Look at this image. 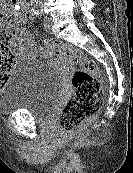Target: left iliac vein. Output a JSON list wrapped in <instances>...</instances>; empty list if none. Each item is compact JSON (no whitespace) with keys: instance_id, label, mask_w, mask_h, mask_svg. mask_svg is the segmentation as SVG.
Returning <instances> with one entry per match:
<instances>
[{"instance_id":"4c4485c4","label":"left iliac vein","mask_w":133,"mask_h":173,"mask_svg":"<svg viewBox=\"0 0 133 173\" xmlns=\"http://www.w3.org/2000/svg\"><path fill=\"white\" fill-rule=\"evenodd\" d=\"M44 27L46 28V29H49L50 28V20H49V18L48 17H44Z\"/></svg>"}]
</instances>
